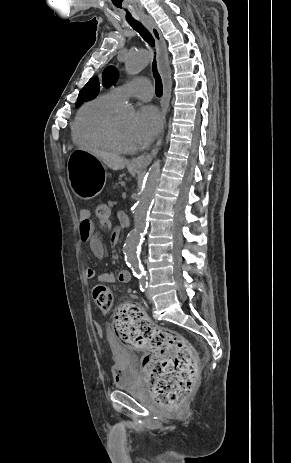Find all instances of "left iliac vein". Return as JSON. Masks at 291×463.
<instances>
[{
  "label": "left iliac vein",
  "mask_w": 291,
  "mask_h": 463,
  "mask_svg": "<svg viewBox=\"0 0 291 463\" xmlns=\"http://www.w3.org/2000/svg\"><path fill=\"white\" fill-rule=\"evenodd\" d=\"M146 297H147L149 300L151 299V296H150V294H149V291H148V290H146Z\"/></svg>",
  "instance_id": "obj_1"
}]
</instances>
